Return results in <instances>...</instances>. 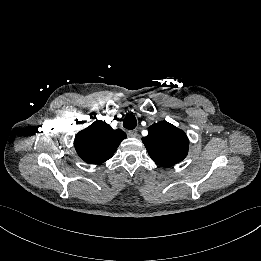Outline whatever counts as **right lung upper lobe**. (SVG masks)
<instances>
[{"instance_id":"right-lung-upper-lobe-1","label":"right lung upper lobe","mask_w":261,"mask_h":261,"mask_svg":"<svg viewBox=\"0 0 261 261\" xmlns=\"http://www.w3.org/2000/svg\"><path fill=\"white\" fill-rule=\"evenodd\" d=\"M125 138L122 130H113L106 122L95 121L76 135L74 146L85 162L100 164L113 156Z\"/></svg>"}]
</instances>
